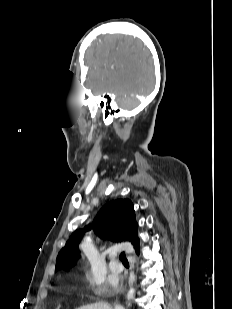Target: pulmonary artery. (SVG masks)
I'll list each match as a JSON object with an SVG mask.
<instances>
[{
  "instance_id": "e3ab8cb5",
  "label": "pulmonary artery",
  "mask_w": 232,
  "mask_h": 309,
  "mask_svg": "<svg viewBox=\"0 0 232 309\" xmlns=\"http://www.w3.org/2000/svg\"><path fill=\"white\" fill-rule=\"evenodd\" d=\"M109 270L114 274H119L123 271V266L112 259L109 263Z\"/></svg>"
}]
</instances>
